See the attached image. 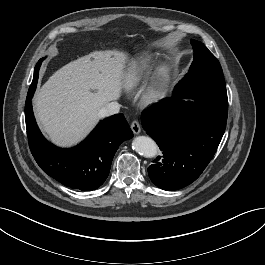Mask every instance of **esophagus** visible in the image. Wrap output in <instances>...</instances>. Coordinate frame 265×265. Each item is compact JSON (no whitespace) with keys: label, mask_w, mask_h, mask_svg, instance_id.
<instances>
[{"label":"esophagus","mask_w":265,"mask_h":265,"mask_svg":"<svg viewBox=\"0 0 265 265\" xmlns=\"http://www.w3.org/2000/svg\"><path fill=\"white\" fill-rule=\"evenodd\" d=\"M131 129L135 135H138L141 132V126L140 123L137 120H134L131 123Z\"/></svg>","instance_id":"1"}]
</instances>
